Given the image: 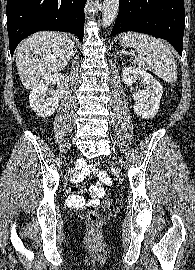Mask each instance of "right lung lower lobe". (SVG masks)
I'll return each mask as SVG.
<instances>
[{"mask_svg":"<svg viewBox=\"0 0 195 270\" xmlns=\"http://www.w3.org/2000/svg\"><path fill=\"white\" fill-rule=\"evenodd\" d=\"M86 0H7L9 49L37 31L55 30L84 36Z\"/></svg>","mask_w":195,"mask_h":270,"instance_id":"98d812e1","label":"right lung lower lobe"}]
</instances>
